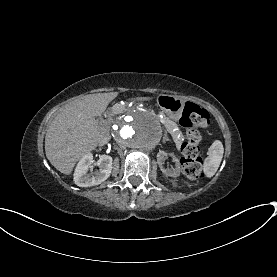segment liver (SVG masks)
<instances>
[{
  "instance_id": "6515ba94",
  "label": "liver",
  "mask_w": 277,
  "mask_h": 277,
  "mask_svg": "<svg viewBox=\"0 0 277 277\" xmlns=\"http://www.w3.org/2000/svg\"><path fill=\"white\" fill-rule=\"evenodd\" d=\"M118 92L85 96L59 113L45 136V152L50 163L61 173L71 174L76 162L110 138V126L99 123L101 115ZM139 101L150 100L138 97Z\"/></svg>"
}]
</instances>
